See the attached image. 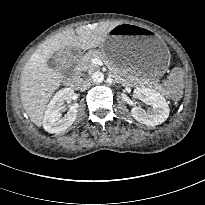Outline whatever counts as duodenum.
<instances>
[{
  "mask_svg": "<svg viewBox=\"0 0 205 205\" xmlns=\"http://www.w3.org/2000/svg\"><path fill=\"white\" fill-rule=\"evenodd\" d=\"M67 85L78 86L80 84L78 76L75 72L72 73L71 77L67 80Z\"/></svg>",
  "mask_w": 205,
  "mask_h": 205,
  "instance_id": "410a0bca",
  "label": "duodenum"
}]
</instances>
